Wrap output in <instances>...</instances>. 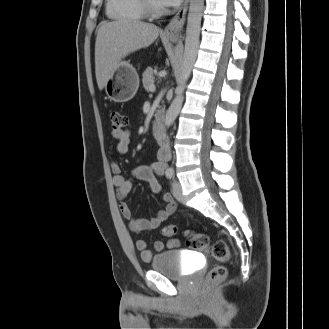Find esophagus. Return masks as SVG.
Returning <instances> with one entry per match:
<instances>
[{
	"instance_id": "esophagus-1",
	"label": "esophagus",
	"mask_w": 329,
	"mask_h": 329,
	"mask_svg": "<svg viewBox=\"0 0 329 329\" xmlns=\"http://www.w3.org/2000/svg\"><path fill=\"white\" fill-rule=\"evenodd\" d=\"M189 0H183V3L175 16L171 19L164 30L166 36L179 37L186 20Z\"/></svg>"
}]
</instances>
